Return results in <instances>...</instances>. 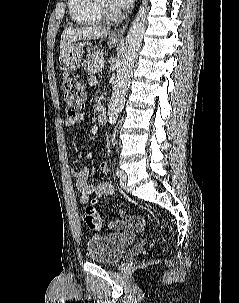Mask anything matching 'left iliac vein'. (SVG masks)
Returning <instances> with one entry per match:
<instances>
[{
  "label": "left iliac vein",
  "mask_w": 239,
  "mask_h": 303,
  "mask_svg": "<svg viewBox=\"0 0 239 303\" xmlns=\"http://www.w3.org/2000/svg\"><path fill=\"white\" fill-rule=\"evenodd\" d=\"M119 178L121 188L125 191H129V187L127 185V175L123 170H119Z\"/></svg>",
  "instance_id": "left-iliac-vein-1"
}]
</instances>
